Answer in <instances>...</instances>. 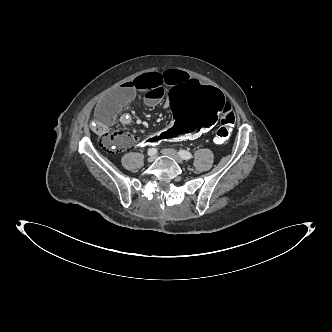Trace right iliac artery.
I'll return each mask as SVG.
<instances>
[{"mask_svg": "<svg viewBox=\"0 0 332 332\" xmlns=\"http://www.w3.org/2000/svg\"><path fill=\"white\" fill-rule=\"evenodd\" d=\"M157 153V149L156 148H150L148 149V155H155Z\"/></svg>", "mask_w": 332, "mask_h": 332, "instance_id": "1", "label": "right iliac artery"}]
</instances>
